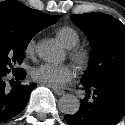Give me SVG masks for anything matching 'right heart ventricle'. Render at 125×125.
Masks as SVG:
<instances>
[{"mask_svg": "<svg viewBox=\"0 0 125 125\" xmlns=\"http://www.w3.org/2000/svg\"><path fill=\"white\" fill-rule=\"evenodd\" d=\"M57 36L67 48L77 46L80 41L79 34L73 28L66 26L57 30Z\"/></svg>", "mask_w": 125, "mask_h": 125, "instance_id": "e07e8e85", "label": "right heart ventricle"}]
</instances>
